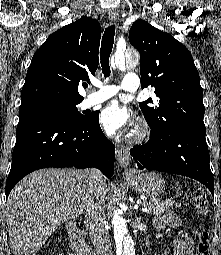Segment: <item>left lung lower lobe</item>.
<instances>
[{
  "mask_svg": "<svg viewBox=\"0 0 221 255\" xmlns=\"http://www.w3.org/2000/svg\"><path fill=\"white\" fill-rule=\"evenodd\" d=\"M205 134L206 130L183 124L160 132L151 131L149 141L133 147L130 154L139 169L188 176L203 183L214 194Z\"/></svg>",
  "mask_w": 221,
  "mask_h": 255,
  "instance_id": "1",
  "label": "left lung lower lobe"
}]
</instances>
